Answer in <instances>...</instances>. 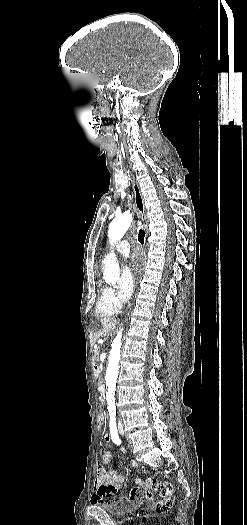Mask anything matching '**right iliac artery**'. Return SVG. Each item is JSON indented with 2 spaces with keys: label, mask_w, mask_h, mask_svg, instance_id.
Listing matches in <instances>:
<instances>
[{
  "label": "right iliac artery",
  "mask_w": 247,
  "mask_h": 525,
  "mask_svg": "<svg viewBox=\"0 0 247 525\" xmlns=\"http://www.w3.org/2000/svg\"><path fill=\"white\" fill-rule=\"evenodd\" d=\"M110 433H111V438L113 442L117 445H120L121 440L119 439V436H118L116 424H110Z\"/></svg>",
  "instance_id": "right-iliac-artery-1"
}]
</instances>
